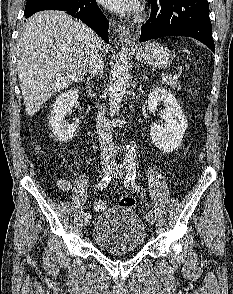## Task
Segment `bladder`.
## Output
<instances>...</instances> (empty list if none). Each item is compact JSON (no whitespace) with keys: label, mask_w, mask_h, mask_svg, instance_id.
<instances>
[{"label":"bladder","mask_w":233,"mask_h":294,"mask_svg":"<svg viewBox=\"0 0 233 294\" xmlns=\"http://www.w3.org/2000/svg\"><path fill=\"white\" fill-rule=\"evenodd\" d=\"M146 230L140 216L129 207L105 210L93 228V242L102 251L122 255L138 251L144 244Z\"/></svg>","instance_id":"31cf9c89"}]
</instances>
